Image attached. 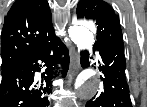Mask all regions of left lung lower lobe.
<instances>
[{"instance_id":"1","label":"left lung lower lobe","mask_w":147,"mask_h":107,"mask_svg":"<svg viewBox=\"0 0 147 107\" xmlns=\"http://www.w3.org/2000/svg\"><path fill=\"white\" fill-rule=\"evenodd\" d=\"M95 50L101 58L99 69L103 71L101 76L103 84L100 91L86 103L85 107H132L125 76L126 60L123 42L117 41ZM81 65L83 68L88 67L87 53L81 54Z\"/></svg>"}]
</instances>
